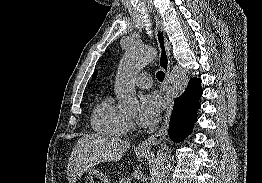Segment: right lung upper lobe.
Here are the masks:
<instances>
[{
	"mask_svg": "<svg viewBox=\"0 0 262 183\" xmlns=\"http://www.w3.org/2000/svg\"><path fill=\"white\" fill-rule=\"evenodd\" d=\"M96 78V72L94 73L92 79L94 80Z\"/></svg>",
	"mask_w": 262,
	"mask_h": 183,
	"instance_id": "1",
	"label": "right lung upper lobe"
}]
</instances>
